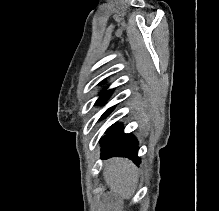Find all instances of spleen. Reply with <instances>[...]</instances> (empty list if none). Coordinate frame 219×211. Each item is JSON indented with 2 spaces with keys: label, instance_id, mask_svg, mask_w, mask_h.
<instances>
[{
  "label": "spleen",
  "instance_id": "3e777b00",
  "mask_svg": "<svg viewBox=\"0 0 219 211\" xmlns=\"http://www.w3.org/2000/svg\"><path fill=\"white\" fill-rule=\"evenodd\" d=\"M103 175L111 191L119 193L124 199H130L135 193L138 173L130 159H110L104 167Z\"/></svg>",
  "mask_w": 219,
  "mask_h": 211
}]
</instances>
